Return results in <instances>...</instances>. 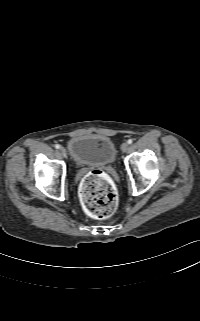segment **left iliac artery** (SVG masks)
Returning <instances> with one entry per match:
<instances>
[{
	"instance_id": "left-iliac-artery-1",
	"label": "left iliac artery",
	"mask_w": 200,
	"mask_h": 321,
	"mask_svg": "<svg viewBox=\"0 0 200 321\" xmlns=\"http://www.w3.org/2000/svg\"><path fill=\"white\" fill-rule=\"evenodd\" d=\"M132 142H133L132 139H129V140L127 141L128 144H132Z\"/></svg>"
}]
</instances>
